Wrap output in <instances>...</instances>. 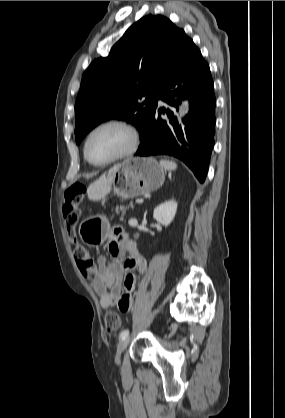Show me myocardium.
<instances>
[{"instance_id":"obj_1","label":"myocardium","mask_w":285,"mask_h":418,"mask_svg":"<svg viewBox=\"0 0 285 418\" xmlns=\"http://www.w3.org/2000/svg\"><path fill=\"white\" fill-rule=\"evenodd\" d=\"M108 126H117L120 128H123L125 131H127V133L130 136V143L128 148L123 151L122 153L108 159L105 160L103 162H94L92 161L87 154V145L89 142V139L91 138V136L98 131L101 128L104 127H108ZM138 140H139V136H138V132L136 130V128L130 124L129 122L125 121V120H121V119H109V120H105L102 121L100 123H98L97 125H95L86 135L84 142H83V154H84V158L86 159V161L93 165V166H105V165H109L111 163H114L116 161L125 159L127 157H130L131 155H133L135 153V151L137 150L138 147Z\"/></svg>"}]
</instances>
